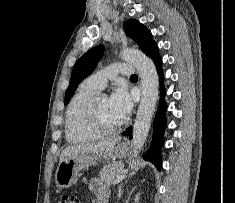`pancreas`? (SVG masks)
Instances as JSON below:
<instances>
[{
	"label": "pancreas",
	"mask_w": 235,
	"mask_h": 203,
	"mask_svg": "<svg viewBox=\"0 0 235 203\" xmlns=\"http://www.w3.org/2000/svg\"><path fill=\"white\" fill-rule=\"evenodd\" d=\"M124 165L121 163L111 164L104 166L100 172L102 182L109 185L111 184L122 172Z\"/></svg>",
	"instance_id": "obj_1"
}]
</instances>
